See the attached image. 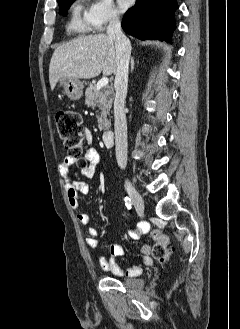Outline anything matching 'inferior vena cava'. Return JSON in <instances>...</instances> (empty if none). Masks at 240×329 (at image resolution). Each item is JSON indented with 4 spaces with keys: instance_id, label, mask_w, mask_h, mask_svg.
<instances>
[{
    "instance_id": "1",
    "label": "inferior vena cava",
    "mask_w": 240,
    "mask_h": 329,
    "mask_svg": "<svg viewBox=\"0 0 240 329\" xmlns=\"http://www.w3.org/2000/svg\"><path fill=\"white\" fill-rule=\"evenodd\" d=\"M107 35L114 40L116 46L117 69L115 72L114 87L116 91L114 100V128L115 151L118 166L125 169L127 165V122L125 116V98L128 85V68L131 55L129 39L121 31L119 17L112 16L107 27Z\"/></svg>"
}]
</instances>
